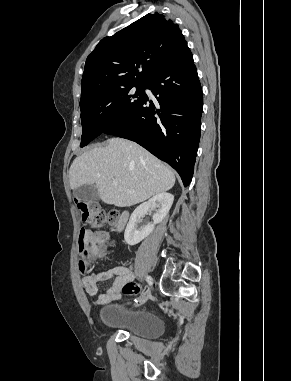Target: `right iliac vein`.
<instances>
[{
    "mask_svg": "<svg viewBox=\"0 0 291 381\" xmlns=\"http://www.w3.org/2000/svg\"><path fill=\"white\" fill-rule=\"evenodd\" d=\"M150 290L148 289L144 294L143 296L138 300L137 303L134 304L135 307H139L141 305H143L147 300L148 298L150 297Z\"/></svg>",
    "mask_w": 291,
    "mask_h": 381,
    "instance_id": "obj_1",
    "label": "right iliac vein"
}]
</instances>
